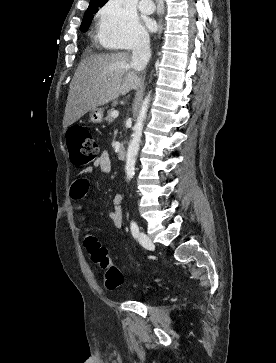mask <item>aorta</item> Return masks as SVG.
Here are the masks:
<instances>
[{
  "instance_id": "aorta-1",
  "label": "aorta",
  "mask_w": 276,
  "mask_h": 363,
  "mask_svg": "<svg viewBox=\"0 0 276 363\" xmlns=\"http://www.w3.org/2000/svg\"><path fill=\"white\" fill-rule=\"evenodd\" d=\"M150 99H151V97H150V93H149L142 102V105H141V108L139 111V115L137 117V121L134 126V132L132 134V137H131V140H130V143L128 146L126 166H125L127 180H131L135 173L136 157H137V153L139 151V145H140L142 130H143V126H144V120L147 115V111H148L149 104H150Z\"/></svg>"
}]
</instances>
